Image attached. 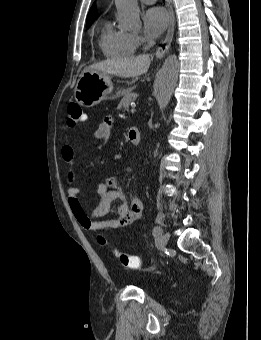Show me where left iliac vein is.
<instances>
[{"instance_id": "left-iliac-vein-1", "label": "left iliac vein", "mask_w": 261, "mask_h": 340, "mask_svg": "<svg viewBox=\"0 0 261 340\" xmlns=\"http://www.w3.org/2000/svg\"><path fill=\"white\" fill-rule=\"evenodd\" d=\"M168 240H169V233L166 232L161 236L160 241H159V246L162 248L165 247L168 243Z\"/></svg>"}]
</instances>
